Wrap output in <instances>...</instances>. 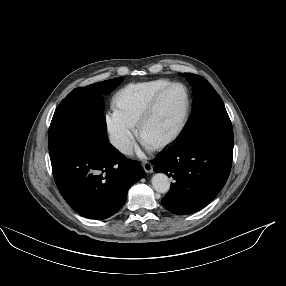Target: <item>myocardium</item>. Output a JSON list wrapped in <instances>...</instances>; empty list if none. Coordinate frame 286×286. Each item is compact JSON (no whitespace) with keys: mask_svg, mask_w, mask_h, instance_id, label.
Instances as JSON below:
<instances>
[{"mask_svg":"<svg viewBox=\"0 0 286 286\" xmlns=\"http://www.w3.org/2000/svg\"><path fill=\"white\" fill-rule=\"evenodd\" d=\"M176 87L181 88L184 92L185 103H184L183 113L175 129L168 136H166L163 140L152 145V147L158 151L165 150L171 145H173L178 140V138L180 137V135L182 134V132L184 131L188 123L189 116H190V109H191V100H190V95H189V92L186 86L183 85L182 83L175 82V83H171L167 85L166 87L162 88L148 102V104L146 105L137 123L139 134L143 137V128L146 122L152 116L157 104L169 90L176 88Z\"/></svg>","mask_w":286,"mask_h":286,"instance_id":"1","label":"myocardium"}]
</instances>
